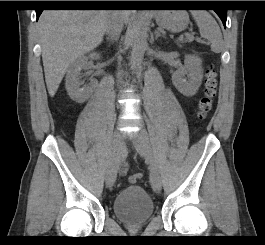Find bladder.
Listing matches in <instances>:
<instances>
[{
	"instance_id": "obj_1",
	"label": "bladder",
	"mask_w": 265,
	"mask_h": 245,
	"mask_svg": "<svg viewBox=\"0 0 265 245\" xmlns=\"http://www.w3.org/2000/svg\"><path fill=\"white\" fill-rule=\"evenodd\" d=\"M113 213L124 224L136 225L152 217L154 203L142 187H127L114 199Z\"/></svg>"
}]
</instances>
